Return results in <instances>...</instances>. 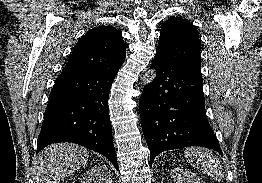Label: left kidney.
Returning a JSON list of instances; mask_svg holds the SVG:
<instances>
[{
  "label": "left kidney",
  "instance_id": "left-kidney-1",
  "mask_svg": "<svg viewBox=\"0 0 262 183\" xmlns=\"http://www.w3.org/2000/svg\"><path fill=\"white\" fill-rule=\"evenodd\" d=\"M171 183H204L186 168H175L171 172Z\"/></svg>",
  "mask_w": 262,
  "mask_h": 183
}]
</instances>
